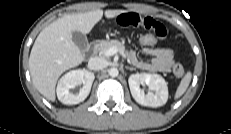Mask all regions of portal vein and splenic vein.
I'll return each instance as SVG.
<instances>
[{
  "label": "portal vein and splenic vein",
  "mask_w": 231,
  "mask_h": 134,
  "mask_svg": "<svg viewBox=\"0 0 231 134\" xmlns=\"http://www.w3.org/2000/svg\"><path fill=\"white\" fill-rule=\"evenodd\" d=\"M118 52H119V50L116 47H111L105 51V55L106 56H113V55L117 54Z\"/></svg>",
  "instance_id": "18ae733b"
}]
</instances>
